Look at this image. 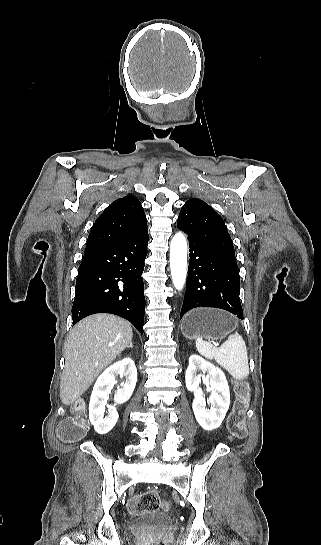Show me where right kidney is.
Returning <instances> with one entry per match:
<instances>
[{
  "label": "right kidney",
  "instance_id": "1",
  "mask_svg": "<svg viewBox=\"0 0 321 545\" xmlns=\"http://www.w3.org/2000/svg\"><path fill=\"white\" fill-rule=\"evenodd\" d=\"M126 377L122 389H118L114 401L118 405L129 401L137 381V369L134 361L130 357H125L122 361L113 363L111 367L105 369L104 373L98 377L92 391L89 403V419L96 433L106 435L118 421V413L112 407H108V415L103 419V413L106 407V401L109 393H111L114 385H116V377Z\"/></svg>",
  "mask_w": 321,
  "mask_h": 545
}]
</instances>
